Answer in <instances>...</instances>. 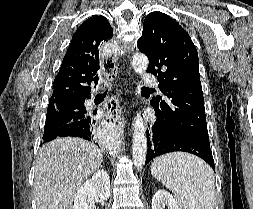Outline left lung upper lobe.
Listing matches in <instances>:
<instances>
[{"label": "left lung upper lobe", "instance_id": "5c2ea615", "mask_svg": "<svg viewBox=\"0 0 253 209\" xmlns=\"http://www.w3.org/2000/svg\"><path fill=\"white\" fill-rule=\"evenodd\" d=\"M137 46L149 59L147 72L158 76L159 89L167 97L152 98L157 120L210 145L198 53L188 33L168 15L152 12L144 20Z\"/></svg>", "mask_w": 253, "mask_h": 209}]
</instances>
